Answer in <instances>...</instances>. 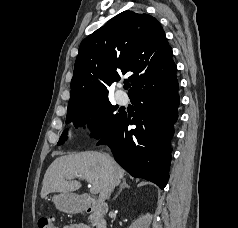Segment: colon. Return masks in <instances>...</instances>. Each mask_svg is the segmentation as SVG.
I'll return each mask as SVG.
<instances>
[{
    "instance_id": "1",
    "label": "colon",
    "mask_w": 238,
    "mask_h": 228,
    "mask_svg": "<svg viewBox=\"0 0 238 228\" xmlns=\"http://www.w3.org/2000/svg\"><path fill=\"white\" fill-rule=\"evenodd\" d=\"M38 228H57L54 222L47 216H41L37 221Z\"/></svg>"
}]
</instances>
